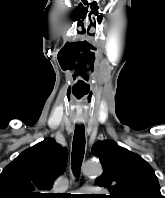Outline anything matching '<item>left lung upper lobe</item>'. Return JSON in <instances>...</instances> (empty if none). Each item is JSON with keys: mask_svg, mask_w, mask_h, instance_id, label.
Instances as JSON below:
<instances>
[{"mask_svg": "<svg viewBox=\"0 0 165 198\" xmlns=\"http://www.w3.org/2000/svg\"><path fill=\"white\" fill-rule=\"evenodd\" d=\"M92 153L104 169L95 184L108 188L107 198H164L153 168L138 154L111 140L97 141Z\"/></svg>", "mask_w": 165, "mask_h": 198, "instance_id": "1", "label": "left lung upper lobe"}]
</instances>
